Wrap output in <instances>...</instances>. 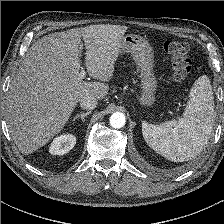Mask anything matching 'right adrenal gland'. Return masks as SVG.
Here are the masks:
<instances>
[{
  "label": "right adrenal gland",
  "instance_id": "right-adrenal-gland-1",
  "mask_svg": "<svg viewBox=\"0 0 224 224\" xmlns=\"http://www.w3.org/2000/svg\"><path fill=\"white\" fill-rule=\"evenodd\" d=\"M90 113H91V111L82 112V113L78 114L77 116H75L74 119H73V121H76L79 118H81L82 121H85V117L87 115H89Z\"/></svg>",
  "mask_w": 224,
  "mask_h": 224
}]
</instances>
